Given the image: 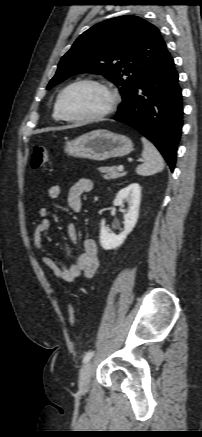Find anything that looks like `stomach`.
I'll list each match as a JSON object with an SVG mask.
<instances>
[{
    "instance_id": "stomach-1",
    "label": "stomach",
    "mask_w": 202,
    "mask_h": 437,
    "mask_svg": "<svg viewBox=\"0 0 202 437\" xmlns=\"http://www.w3.org/2000/svg\"><path fill=\"white\" fill-rule=\"evenodd\" d=\"M64 151L73 157L105 161L130 154L133 151V143L124 135L100 129L66 142Z\"/></svg>"
}]
</instances>
